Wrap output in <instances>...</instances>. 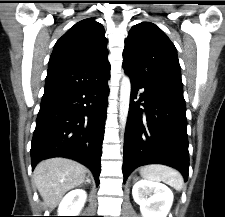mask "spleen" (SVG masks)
<instances>
[{
    "label": "spleen",
    "instance_id": "3e777b00",
    "mask_svg": "<svg viewBox=\"0 0 225 217\" xmlns=\"http://www.w3.org/2000/svg\"><path fill=\"white\" fill-rule=\"evenodd\" d=\"M140 174L143 178L151 181H162L178 191L183 188L184 180L182 175L177 170L166 165H146L140 169Z\"/></svg>",
    "mask_w": 225,
    "mask_h": 217
}]
</instances>
